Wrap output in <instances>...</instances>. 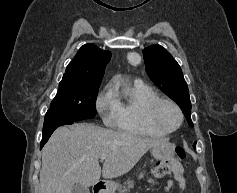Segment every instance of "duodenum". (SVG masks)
Returning <instances> with one entry per match:
<instances>
[{
    "label": "duodenum",
    "mask_w": 237,
    "mask_h": 193,
    "mask_svg": "<svg viewBox=\"0 0 237 193\" xmlns=\"http://www.w3.org/2000/svg\"><path fill=\"white\" fill-rule=\"evenodd\" d=\"M94 193H105L106 192V184L102 181H98L94 185Z\"/></svg>",
    "instance_id": "obj_1"
}]
</instances>
